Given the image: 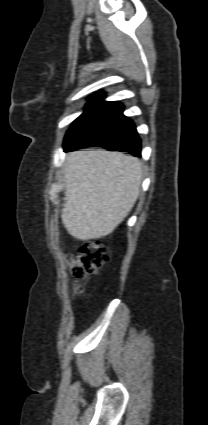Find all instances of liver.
Returning <instances> with one entry per match:
<instances>
[{
	"mask_svg": "<svg viewBox=\"0 0 208 425\" xmlns=\"http://www.w3.org/2000/svg\"><path fill=\"white\" fill-rule=\"evenodd\" d=\"M62 222L82 241L109 235L128 216L140 193L141 162L106 150L70 152L65 163Z\"/></svg>",
	"mask_w": 208,
	"mask_h": 425,
	"instance_id": "6515ba94",
	"label": "liver"
}]
</instances>
